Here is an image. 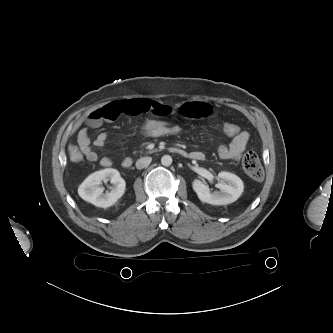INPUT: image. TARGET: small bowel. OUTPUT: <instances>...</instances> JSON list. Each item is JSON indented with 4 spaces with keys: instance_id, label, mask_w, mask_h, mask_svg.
<instances>
[{
    "instance_id": "small-bowel-1",
    "label": "small bowel",
    "mask_w": 333,
    "mask_h": 333,
    "mask_svg": "<svg viewBox=\"0 0 333 333\" xmlns=\"http://www.w3.org/2000/svg\"><path fill=\"white\" fill-rule=\"evenodd\" d=\"M146 112H152L163 119H170L174 115L170 107L150 99L113 101L90 113L86 120V126L81 128L77 134L78 149L88 161H96L98 155L91 146L89 128H97L103 122L115 120L122 115L137 116ZM107 140L108 135L100 133L94 139L93 145L97 148H102ZM248 140V134L240 132L229 144L220 145L218 149L220 157L223 159L239 160L247 146ZM190 156L199 160L204 158L203 153L198 151L190 153ZM100 164L103 167H110L113 161L111 158L105 156L100 159Z\"/></svg>"
}]
</instances>
